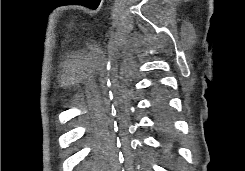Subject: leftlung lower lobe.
Wrapping results in <instances>:
<instances>
[{
	"label": "left lung lower lobe",
	"mask_w": 245,
	"mask_h": 171,
	"mask_svg": "<svg viewBox=\"0 0 245 171\" xmlns=\"http://www.w3.org/2000/svg\"><path fill=\"white\" fill-rule=\"evenodd\" d=\"M155 103H156L157 109L161 113L165 112V110H166V97H165V94L161 90L158 91Z\"/></svg>",
	"instance_id": "0a47b994"
}]
</instances>
